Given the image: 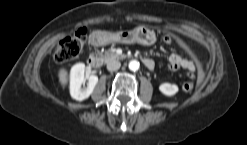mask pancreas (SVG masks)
<instances>
[{"instance_id":"cf45deb5","label":"pancreas","mask_w":247,"mask_h":145,"mask_svg":"<svg viewBox=\"0 0 247 145\" xmlns=\"http://www.w3.org/2000/svg\"><path fill=\"white\" fill-rule=\"evenodd\" d=\"M100 60L107 63L112 59H118L119 56L113 51H105L104 53H99Z\"/></svg>"}]
</instances>
